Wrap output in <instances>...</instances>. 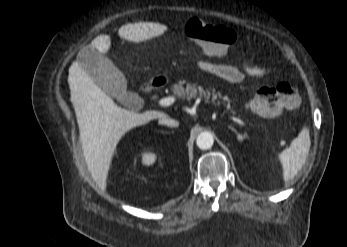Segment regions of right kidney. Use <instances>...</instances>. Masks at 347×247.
<instances>
[{"label":"right kidney","instance_id":"right-kidney-1","mask_svg":"<svg viewBox=\"0 0 347 247\" xmlns=\"http://www.w3.org/2000/svg\"><path fill=\"white\" fill-rule=\"evenodd\" d=\"M156 155L152 152H146L142 155V163L146 166L154 164L156 161Z\"/></svg>","mask_w":347,"mask_h":247}]
</instances>
